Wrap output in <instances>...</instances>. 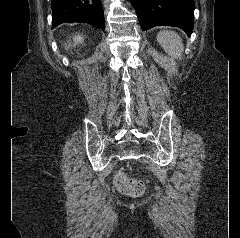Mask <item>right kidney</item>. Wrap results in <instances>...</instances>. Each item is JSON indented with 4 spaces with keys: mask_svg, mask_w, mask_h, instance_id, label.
Here are the masks:
<instances>
[{
    "mask_svg": "<svg viewBox=\"0 0 240 238\" xmlns=\"http://www.w3.org/2000/svg\"><path fill=\"white\" fill-rule=\"evenodd\" d=\"M73 40H74L75 45H76V44L82 43L84 38L81 35H77V36L75 35V37H73Z\"/></svg>",
    "mask_w": 240,
    "mask_h": 238,
    "instance_id": "ca27d5eb",
    "label": "right kidney"
}]
</instances>
